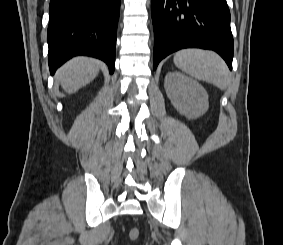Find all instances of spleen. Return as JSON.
<instances>
[{"mask_svg": "<svg viewBox=\"0 0 283 245\" xmlns=\"http://www.w3.org/2000/svg\"><path fill=\"white\" fill-rule=\"evenodd\" d=\"M175 65L195 79L212 83L221 90L229 85V70L214 52L202 49H182L174 55Z\"/></svg>", "mask_w": 283, "mask_h": 245, "instance_id": "3e777b00", "label": "spleen"}]
</instances>
